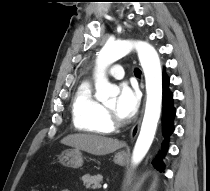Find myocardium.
<instances>
[{"instance_id":"1","label":"myocardium","mask_w":210,"mask_h":191,"mask_svg":"<svg viewBox=\"0 0 210 191\" xmlns=\"http://www.w3.org/2000/svg\"><path fill=\"white\" fill-rule=\"evenodd\" d=\"M106 111L109 124L112 128L119 127L123 124V121L116 115L113 109L106 107Z\"/></svg>"}]
</instances>
